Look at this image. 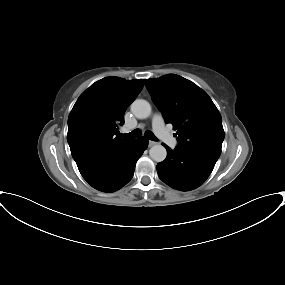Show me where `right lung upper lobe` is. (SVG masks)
Instances as JSON below:
<instances>
[{
	"label": "right lung upper lobe",
	"instance_id": "obj_1",
	"mask_svg": "<svg viewBox=\"0 0 285 285\" xmlns=\"http://www.w3.org/2000/svg\"><path fill=\"white\" fill-rule=\"evenodd\" d=\"M144 86V80L107 77L92 84L76 101L68 118L67 141L78 166L130 141L120 136L124 113Z\"/></svg>",
	"mask_w": 285,
	"mask_h": 285
}]
</instances>
